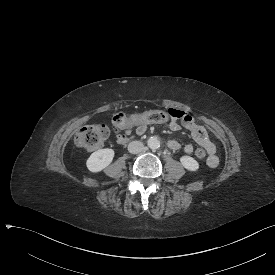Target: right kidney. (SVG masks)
<instances>
[{"mask_svg":"<svg viewBox=\"0 0 275 275\" xmlns=\"http://www.w3.org/2000/svg\"><path fill=\"white\" fill-rule=\"evenodd\" d=\"M113 149H100L93 152L87 159L86 165L91 172H99L106 168L113 160Z\"/></svg>","mask_w":275,"mask_h":275,"instance_id":"obj_1","label":"right kidney"}]
</instances>
